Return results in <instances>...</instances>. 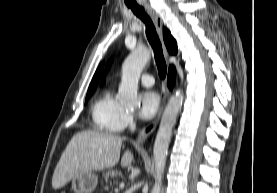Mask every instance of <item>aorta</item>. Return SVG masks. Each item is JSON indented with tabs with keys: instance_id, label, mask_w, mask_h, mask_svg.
<instances>
[{
	"instance_id": "762f6f07",
	"label": "aorta",
	"mask_w": 277,
	"mask_h": 193,
	"mask_svg": "<svg viewBox=\"0 0 277 193\" xmlns=\"http://www.w3.org/2000/svg\"><path fill=\"white\" fill-rule=\"evenodd\" d=\"M151 57V51L140 47L135 49L122 65V77L118 95L121 102L129 107H136L140 100L137 90L141 72ZM183 102V91L178 89L170 98L163 113L159 130L154 143V162L156 168L155 184L151 193H160V185L165 169L168 147L172 135V129Z\"/></svg>"
}]
</instances>
